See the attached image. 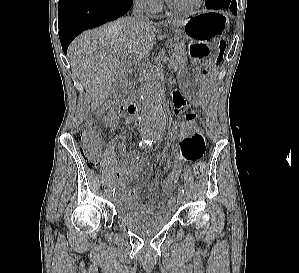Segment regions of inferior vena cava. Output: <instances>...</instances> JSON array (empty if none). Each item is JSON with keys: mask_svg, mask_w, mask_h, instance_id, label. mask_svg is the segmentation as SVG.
<instances>
[{"mask_svg": "<svg viewBox=\"0 0 299 273\" xmlns=\"http://www.w3.org/2000/svg\"><path fill=\"white\" fill-rule=\"evenodd\" d=\"M146 11V4L142 0H137L133 6L132 13L134 15L133 19L149 22L148 17L144 14Z\"/></svg>", "mask_w": 299, "mask_h": 273, "instance_id": "inferior-vena-cava-1", "label": "inferior vena cava"}]
</instances>
